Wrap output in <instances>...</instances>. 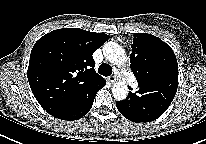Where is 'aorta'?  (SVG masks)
<instances>
[{"label":"aorta","instance_id":"obj_1","mask_svg":"<svg viewBox=\"0 0 206 144\" xmlns=\"http://www.w3.org/2000/svg\"><path fill=\"white\" fill-rule=\"evenodd\" d=\"M103 54L109 62L115 65H122L126 61V55L123 48L113 41L104 44ZM128 91V87L123 81L116 82L112 86L113 97L118 101L126 99Z\"/></svg>","mask_w":206,"mask_h":144}]
</instances>
